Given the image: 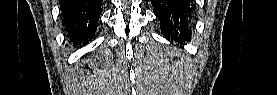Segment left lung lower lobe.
I'll use <instances>...</instances> for the list:
<instances>
[{
	"label": "left lung lower lobe",
	"mask_w": 277,
	"mask_h": 95,
	"mask_svg": "<svg viewBox=\"0 0 277 95\" xmlns=\"http://www.w3.org/2000/svg\"><path fill=\"white\" fill-rule=\"evenodd\" d=\"M153 12L161 20V30L167 39H191V0H151Z\"/></svg>",
	"instance_id": "left-lung-lower-lobe-1"
}]
</instances>
